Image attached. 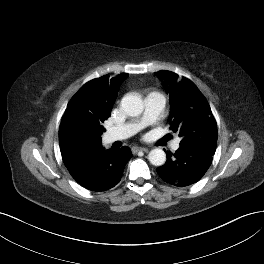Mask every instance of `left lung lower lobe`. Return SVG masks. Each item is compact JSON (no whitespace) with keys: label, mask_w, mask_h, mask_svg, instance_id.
<instances>
[{"label":"left lung lower lobe","mask_w":264,"mask_h":264,"mask_svg":"<svg viewBox=\"0 0 264 264\" xmlns=\"http://www.w3.org/2000/svg\"><path fill=\"white\" fill-rule=\"evenodd\" d=\"M215 152L205 149L180 147L174 154L166 152V163L157 168L159 176L167 183L185 187L198 182L206 173Z\"/></svg>","instance_id":"obj_1"}]
</instances>
